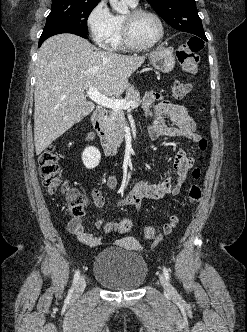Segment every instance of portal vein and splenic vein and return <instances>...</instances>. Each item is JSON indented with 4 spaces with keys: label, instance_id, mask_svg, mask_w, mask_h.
Wrapping results in <instances>:
<instances>
[{
    "label": "portal vein and splenic vein",
    "instance_id": "portal-vein-and-splenic-vein-1",
    "mask_svg": "<svg viewBox=\"0 0 247 332\" xmlns=\"http://www.w3.org/2000/svg\"><path fill=\"white\" fill-rule=\"evenodd\" d=\"M87 96L96 102L97 104L104 106L106 108H111L115 110L119 109H129V108H136L138 104L134 101H127L125 99H115L109 98L102 93H100L95 87L91 86L87 90Z\"/></svg>",
    "mask_w": 247,
    "mask_h": 332
}]
</instances>
